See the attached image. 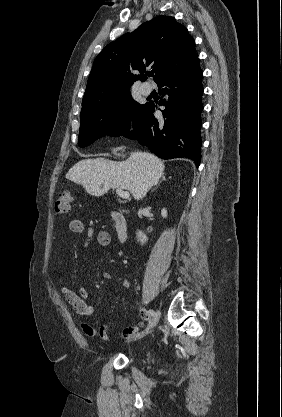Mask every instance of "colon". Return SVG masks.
I'll return each instance as SVG.
<instances>
[{"label": "colon", "mask_w": 282, "mask_h": 417, "mask_svg": "<svg viewBox=\"0 0 282 417\" xmlns=\"http://www.w3.org/2000/svg\"><path fill=\"white\" fill-rule=\"evenodd\" d=\"M72 205V196L67 189L61 191L54 200V210L57 214L66 215Z\"/></svg>", "instance_id": "obj_1"}]
</instances>
